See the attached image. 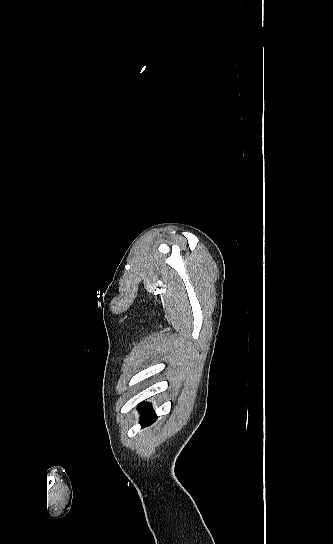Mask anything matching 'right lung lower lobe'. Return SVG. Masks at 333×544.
<instances>
[{
  "label": "right lung lower lobe",
  "instance_id": "98d812e1",
  "mask_svg": "<svg viewBox=\"0 0 333 544\" xmlns=\"http://www.w3.org/2000/svg\"><path fill=\"white\" fill-rule=\"evenodd\" d=\"M138 410L141 412L140 424L142 428L149 426L156 421L157 416L149 403H141L138 406Z\"/></svg>",
  "mask_w": 333,
  "mask_h": 544
}]
</instances>
